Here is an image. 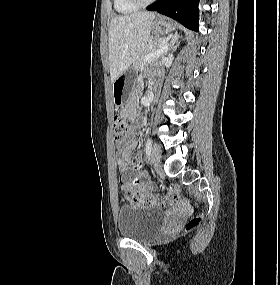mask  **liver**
<instances>
[{"label": "liver", "instance_id": "6515ba94", "mask_svg": "<svg viewBox=\"0 0 280 285\" xmlns=\"http://www.w3.org/2000/svg\"><path fill=\"white\" fill-rule=\"evenodd\" d=\"M155 13L134 12L117 16L109 28V67L111 82L122 75L147 45Z\"/></svg>", "mask_w": 280, "mask_h": 285}]
</instances>
